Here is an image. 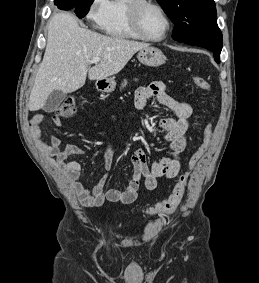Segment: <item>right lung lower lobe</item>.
<instances>
[{
	"instance_id": "right-lung-lower-lobe-1",
	"label": "right lung lower lobe",
	"mask_w": 259,
	"mask_h": 283,
	"mask_svg": "<svg viewBox=\"0 0 259 283\" xmlns=\"http://www.w3.org/2000/svg\"><path fill=\"white\" fill-rule=\"evenodd\" d=\"M54 3L61 10H68L75 6L74 0H55Z\"/></svg>"
}]
</instances>
